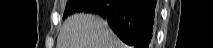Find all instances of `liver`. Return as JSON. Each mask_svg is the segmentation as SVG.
<instances>
[{"label": "liver", "mask_w": 213, "mask_h": 48, "mask_svg": "<svg viewBox=\"0 0 213 48\" xmlns=\"http://www.w3.org/2000/svg\"><path fill=\"white\" fill-rule=\"evenodd\" d=\"M56 48H126L107 23L92 14H75L62 25Z\"/></svg>", "instance_id": "6515ba94"}]
</instances>
